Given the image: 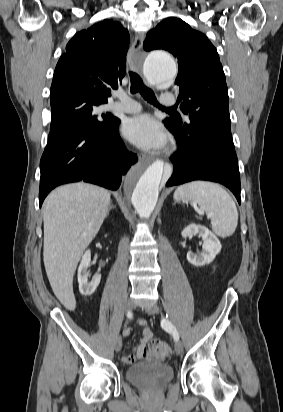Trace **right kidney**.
I'll return each mask as SVG.
<instances>
[{"label": "right kidney", "instance_id": "right-kidney-1", "mask_svg": "<svg viewBox=\"0 0 283 412\" xmlns=\"http://www.w3.org/2000/svg\"><path fill=\"white\" fill-rule=\"evenodd\" d=\"M91 261V252L87 250L82 256L81 263L78 268V283L79 291L84 296H89L94 293L101 281V274H97L91 281H88V267Z\"/></svg>", "mask_w": 283, "mask_h": 412}]
</instances>
